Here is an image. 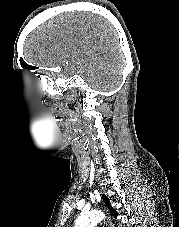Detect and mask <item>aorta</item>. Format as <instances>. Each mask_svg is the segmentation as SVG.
<instances>
[{"label": "aorta", "instance_id": "aorta-1", "mask_svg": "<svg viewBox=\"0 0 179 227\" xmlns=\"http://www.w3.org/2000/svg\"><path fill=\"white\" fill-rule=\"evenodd\" d=\"M101 211L81 212L75 222V227H95L104 219Z\"/></svg>", "mask_w": 179, "mask_h": 227}]
</instances>
